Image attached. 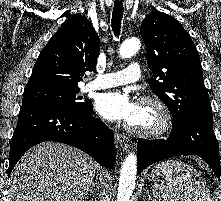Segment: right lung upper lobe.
<instances>
[{
	"label": "right lung upper lobe",
	"instance_id": "right-lung-upper-lobe-1",
	"mask_svg": "<svg viewBox=\"0 0 221 201\" xmlns=\"http://www.w3.org/2000/svg\"><path fill=\"white\" fill-rule=\"evenodd\" d=\"M99 48L92 23L80 14L71 16L40 53L25 88H79L84 73L96 69Z\"/></svg>",
	"mask_w": 221,
	"mask_h": 201
}]
</instances>
